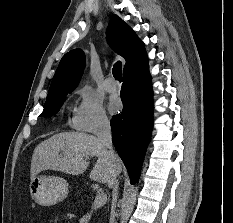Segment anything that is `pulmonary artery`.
<instances>
[{"mask_svg":"<svg viewBox=\"0 0 233 223\" xmlns=\"http://www.w3.org/2000/svg\"><path fill=\"white\" fill-rule=\"evenodd\" d=\"M105 88L108 92H115L117 90V85L113 78L109 77L105 80Z\"/></svg>","mask_w":233,"mask_h":223,"instance_id":"e3ab8cb5","label":"pulmonary artery"}]
</instances>
